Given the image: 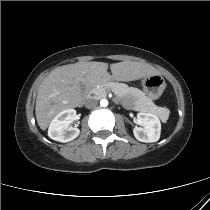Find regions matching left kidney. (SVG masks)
I'll use <instances>...</instances> for the list:
<instances>
[{
  "instance_id": "left-kidney-1",
  "label": "left kidney",
  "mask_w": 210,
  "mask_h": 210,
  "mask_svg": "<svg viewBox=\"0 0 210 210\" xmlns=\"http://www.w3.org/2000/svg\"><path fill=\"white\" fill-rule=\"evenodd\" d=\"M137 121L142 127H135L134 136L141 142H156L160 138L161 122L159 118L152 113H138Z\"/></svg>"
}]
</instances>
